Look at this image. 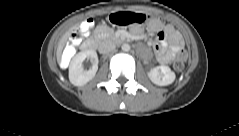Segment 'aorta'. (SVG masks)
Returning <instances> with one entry per match:
<instances>
[{
	"label": "aorta",
	"mask_w": 239,
	"mask_h": 136,
	"mask_svg": "<svg viewBox=\"0 0 239 136\" xmlns=\"http://www.w3.org/2000/svg\"><path fill=\"white\" fill-rule=\"evenodd\" d=\"M121 48H122L123 51L127 52V51L130 50V45L125 43V44L122 45Z\"/></svg>",
	"instance_id": "1"
}]
</instances>
